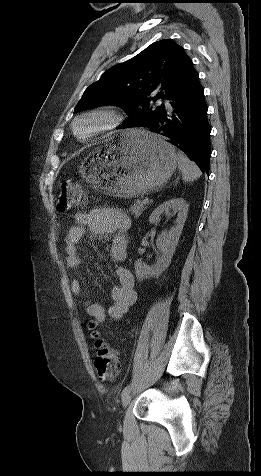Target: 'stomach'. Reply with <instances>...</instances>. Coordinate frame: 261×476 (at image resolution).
<instances>
[{
  "mask_svg": "<svg viewBox=\"0 0 261 476\" xmlns=\"http://www.w3.org/2000/svg\"><path fill=\"white\" fill-rule=\"evenodd\" d=\"M175 149L146 130H128L89 153L79 172L104 193L132 198L158 190L172 176Z\"/></svg>",
  "mask_w": 261,
  "mask_h": 476,
  "instance_id": "1",
  "label": "stomach"
}]
</instances>
